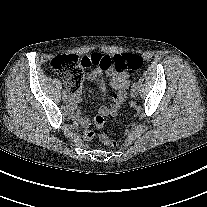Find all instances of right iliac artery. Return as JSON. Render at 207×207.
<instances>
[{
    "mask_svg": "<svg viewBox=\"0 0 207 207\" xmlns=\"http://www.w3.org/2000/svg\"><path fill=\"white\" fill-rule=\"evenodd\" d=\"M62 93H63V96H67V94H66V92H65V91H63Z\"/></svg>",
    "mask_w": 207,
    "mask_h": 207,
    "instance_id": "82829eb1",
    "label": "right iliac artery"
}]
</instances>
